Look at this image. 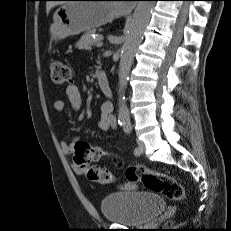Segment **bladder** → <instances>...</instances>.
Returning <instances> with one entry per match:
<instances>
[{
    "mask_svg": "<svg viewBox=\"0 0 231 231\" xmlns=\"http://www.w3.org/2000/svg\"><path fill=\"white\" fill-rule=\"evenodd\" d=\"M107 221L126 226H142L153 222L165 209L166 202L156 193L119 191L100 202Z\"/></svg>",
    "mask_w": 231,
    "mask_h": 231,
    "instance_id": "obj_1",
    "label": "bladder"
}]
</instances>
